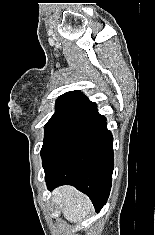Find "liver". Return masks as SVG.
Here are the masks:
<instances>
[{
  "label": "liver",
  "mask_w": 155,
  "mask_h": 235,
  "mask_svg": "<svg viewBox=\"0 0 155 235\" xmlns=\"http://www.w3.org/2000/svg\"><path fill=\"white\" fill-rule=\"evenodd\" d=\"M52 201L61 208L64 217L74 223H80L86 218L93 207L87 196L71 186L56 189Z\"/></svg>",
  "instance_id": "6515ba94"
}]
</instances>
